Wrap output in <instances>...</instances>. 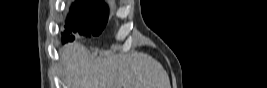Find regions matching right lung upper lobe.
Listing matches in <instances>:
<instances>
[{
	"label": "right lung upper lobe",
	"instance_id": "right-lung-upper-lobe-1",
	"mask_svg": "<svg viewBox=\"0 0 267 88\" xmlns=\"http://www.w3.org/2000/svg\"><path fill=\"white\" fill-rule=\"evenodd\" d=\"M82 1H85V0H82ZM87 1H99V0H87Z\"/></svg>",
	"mask_w": 267,
	"mask_h": 88
}]
</instances>
